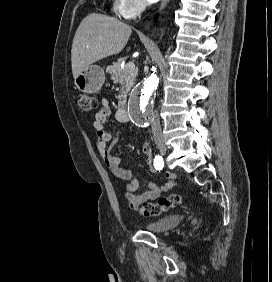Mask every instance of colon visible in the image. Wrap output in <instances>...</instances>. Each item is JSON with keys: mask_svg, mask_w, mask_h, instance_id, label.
Returning <instances> with one entry per match:
<instances>
[{"mask_svg": "<svg viewBox=\"0 0 272 282\" xmlns=\"http://www.w3.org/2000/svg\"><path fill=\"white\" fill-rule=\"evenodd\" d=\"M76 102L82 112H91L96 105L95 99L85 93H79ZM180 204V196L173 194L168 197L159 198L156 202H145L141 205L139 211L143 216H157L169 209L175 208Z\"/></svg>", "mask_w": 272, "mask_h": 282, "instance_id": "5ec220e1", "label": "colon"}]
</instances>
